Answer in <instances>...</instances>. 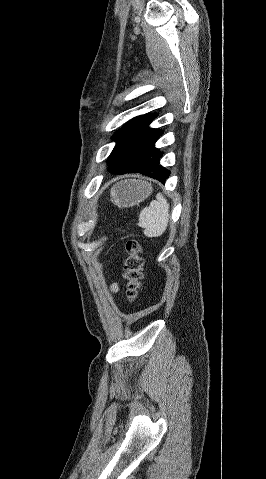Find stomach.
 Here are the masks:
<instances>
[{"label":"stomach","instance_id":"1","mask_svg":"<svg viewBox=\"0 0 266 479\" xmlns=\"http://www.w3.org/2000/svg\"><path fill=\"white\" fill-rule=\"evenodd\" d=\"M152 192L151 184L144 180H125L111 189L112 201L118 206L130 207L139 204Z\"/></svg>","mask_w":266,"mask_h":479}]
</instances>
